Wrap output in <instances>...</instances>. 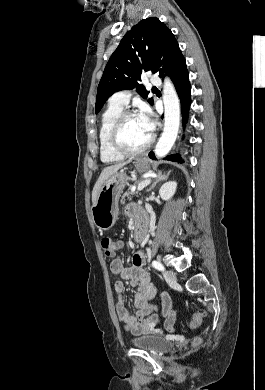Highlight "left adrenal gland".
Instances as JSON below:
<instances>
[{
	"mask_svg": "<svg viewBox=\"0 0 265 390\" xmlns=\"http://www.w3.org/2000/svg\"><path fill=\"white\" fill-rule=\"evenodd\" d=\"M169 173L170 172H168L167 174L162 173V171L158 172L157 177L155 178L154 182L152 183V185L147 191L152 190L156 186V184L159 183L160 181L167 180Z\"/></svg>",
	"mask_w": 265,
	"mask_h": 390,
	"instance_id": "obj_1",
	"label": "left adrenal gland"
}]
</instances>
